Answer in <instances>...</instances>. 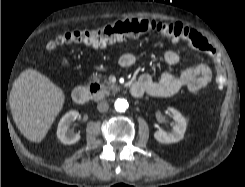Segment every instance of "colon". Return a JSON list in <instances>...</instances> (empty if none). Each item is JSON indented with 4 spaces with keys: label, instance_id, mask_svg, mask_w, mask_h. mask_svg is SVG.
Here are the masks:
<instances>
[{
    "label": "colon",
    "instance_id": "1",
    "mask_svg": "<svg viewBox=\"0 0 245 187\" xmlns=\"http://www.w3.org/2000/svg\"><path fill=\"white\" fill-rule=\"evenodd\" d=\"M155 32L174 42H182L212 57L216 51L209 41L194 29L181 23H165L146 19H123L92 29H71L58 34L47 43L53 50L66 44H84L99 48L118 43L142 34ZM217 80L223 83V75L219 71Z\"/></svg>",
    "mask_w": 245,
    "mask_h": 187
}]
</instances>
